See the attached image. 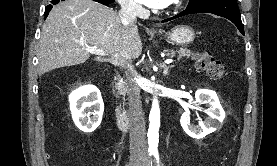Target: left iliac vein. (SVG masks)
<instances>
[{
	"instance_id": "left-iliac-vein-1",
	"label": "left iliac vein",
	"mask_w": 277,
	"mask_h": 166,
	"mask_svg": "<svg viewBox=\"0 0 277 166\" xmlns=\"http://www.w3.org/2000/svg\"><path fill=\"white\" fill-rule=\"evenodd\" d=\"M143 166H153L152 161H147Z\"/></svg>"
}]
</instances>
